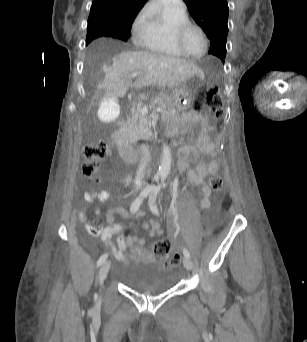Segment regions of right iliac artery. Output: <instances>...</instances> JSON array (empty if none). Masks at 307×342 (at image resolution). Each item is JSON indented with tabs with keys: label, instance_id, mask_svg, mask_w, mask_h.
<instances>
[{
	"label": "right iliac artery",
	"instance_id": "right-iliac-artery-1",
	"mask_svg": "<svg viewBox=\"0 0 307 342\" xmlns=\"http://www.w3.org/2000/svg\"><path fill=\"white\" fill-rule=\"evenodd\" d=\"M152 187L142 190V192L139 194V196L133 201L130 207L131 213H136L142 204L143 200L151 193ZM108 254H103L97 261V266H101L107 259Z\"/></svg>",
	"mask_w": 307,
	"mask_h": 342
}]
</instances>
